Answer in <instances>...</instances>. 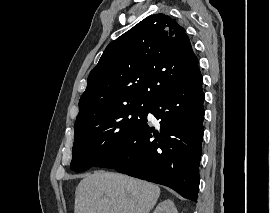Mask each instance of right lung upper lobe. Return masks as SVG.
<instances>
[{
	"mask_svg": "<svg viewBox=\"0 0 270 213\" xmlns=\"http://www.w3.org/2000/svg\"><path fill=\"white\" fill-rule=\"evenodd\" d=\"M185 30L164 14L148 16L111 42L90 72L76 123L131 104H153L197 67Z\"/></svg>",
	"mask_w": 270,
	"mask_h": 213,
	"instance_id": "1",
	"label": "right lung upper lobe"
}]
</instances>
